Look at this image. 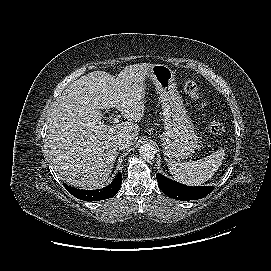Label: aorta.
<instances>
[{"label":"aorta","instance_id":"obj_1","mask_svg":"<svg viewBox=\"0 0 271 271\" xmlns=\"http://www.w3.org/2000/svg\"><path fill=\"white\" fill-rule=\"evenodd\" d=\"M139 153L140 156L143 159H153L155 157V149L153 147V145L149 144V143H145L143 145L140 146L139 149Z\"/></svg>","mask_w":271,"mask_h":271}]
</instances>
